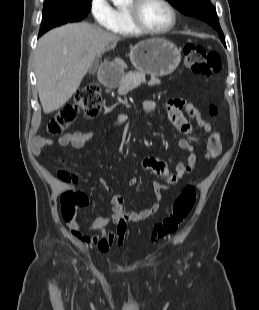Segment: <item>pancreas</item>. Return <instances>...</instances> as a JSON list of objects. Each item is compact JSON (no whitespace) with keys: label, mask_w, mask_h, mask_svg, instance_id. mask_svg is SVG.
Here are the masks:
<instances>
[{"label":"pancreas","mask_w":259,"mask_h":310,"mask_svg":"<svg viewBox=\"0 0 259 310\" xmlns=\"http://www.w3.org/2000/svg\"><path fill=\"white\" fill-rule=\"evenodd\" d=\"M146 82L145 74L139 72H130L119 82L118 94L126 95L129 90L139 87L142 83ZM160 80L152 77L148 82V85H158Z\"/></svg>","instance_id":"obj_1"}]
</instances>
